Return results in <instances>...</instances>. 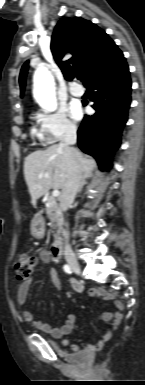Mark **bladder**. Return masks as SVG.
Returning <instances> with one entry per match:
<instances>
[{"instance_id":"1","label":"bladder","mask_w":145,"mask_h":385,"mask_svg":"<svg viewBox=\"0 0 145 385\" xmlns=\"http://www.w3.org/2000/svg\"><path fill=\"white\" fill-rule=\"evenodd\" d=\"M78 356H80L82 359H85V358H86L84 352H79V353H78Z\"/></svg>"}]
</instances>
